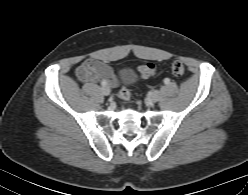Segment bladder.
<instances>
[{
	"label": "bladder",
	"instance_id": "obj_1",
	"mask_svg": "<svg viewBox=\"0 0 248 195\" xmlns=\"http://www.w3.org/2000/svg\"><path fill=\"white\" fill-rule=\"evenodd\" d=\"M132 81H133V72L130 69L123 70L120 77V83L124 85H128Z\"/></svg>",
	"mask_w": 248,
	"mask_h": 195
}]
</instances>
